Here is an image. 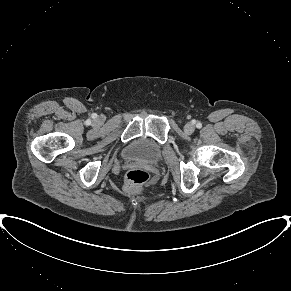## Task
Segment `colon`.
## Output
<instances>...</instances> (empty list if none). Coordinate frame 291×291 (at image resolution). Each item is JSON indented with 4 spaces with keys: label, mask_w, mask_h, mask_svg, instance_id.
I'll return each mask as SVG.
<instances>
[{
    "label": "colon",
    "mask_w": 291,
    "mask_h": 291,
    "mask_svg": "<svg viewBox=\"0 0 291 291\" xmlns=\"http://www.w3.org/2000/svg\"><path fill=\"white\" fill-rule=\"evenodd\" d=\"M149 174L140 168H133L126 173V189L131 194L139 193L147 183Z\"/></svg>",
    "instance_id": "1"
}]
</instances>
